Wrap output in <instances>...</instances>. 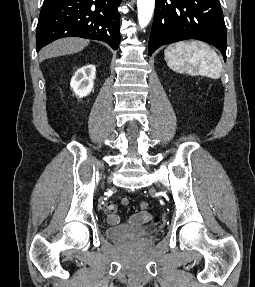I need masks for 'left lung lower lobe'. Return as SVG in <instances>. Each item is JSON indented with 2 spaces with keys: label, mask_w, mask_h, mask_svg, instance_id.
I'll return each instance as SVG.
<instances>
[{
  "label": "left lung lower lobe",
  "mask_w": 255,
  "mask_h": 287,
  "mask_svg": "<svg viewBox=\"0 0 255 287\" xmlns=\"http://www.w3.org/2000/svg\"><path fill=\"white\" fill-rule=\"evenodd\" d=\"M192 38L218 48L226 61V26L218 0H156L149 55L162 45Z\"/></svg>",
  "instance_id": "0a47b994"
}]
</instances>
